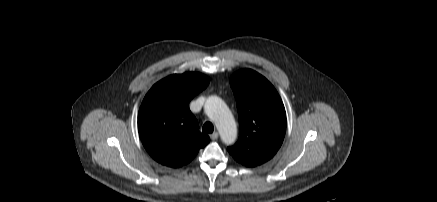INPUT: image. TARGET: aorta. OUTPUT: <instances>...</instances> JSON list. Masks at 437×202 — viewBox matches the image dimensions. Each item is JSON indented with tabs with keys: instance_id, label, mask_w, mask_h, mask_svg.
Instances as JSON below:
<instances>
[{
	"instance_id": "aorta-1",
	"label": "aorta",
	"mask_w": 437,
	"mask_h": 202,
	"mask_svg": "<svg viewBox=\"0 0 437 202\" xmlns=\"http://www.w3.org/2000/svg\"><path fill=\"white\" fill-rule=\"evenodd\" d=\"M204 109L209 118L215 123L223 143L233 144L237 137V127L235 119L225 102L217 96H211L207 99Z\"/></svg>"
}]
</instances>
